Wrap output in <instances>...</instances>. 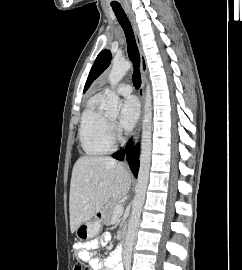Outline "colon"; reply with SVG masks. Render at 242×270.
Wrapping results in <instances>:
<instances>
[{"label":"colon","instance_id":"5ec220e1","mask_svg":"<svg viewBox=\"0 0 242 270\" xmlns=\"http://www.w3.org/2000/svg\"><path fill=\"white\" fill-rule=\"evenodd\" d=\"M74 270H91V269L87 265H84L82 263H76L74 266Z\"/></svg>","mask_w":242,"mask_h":270}]
</instances>
